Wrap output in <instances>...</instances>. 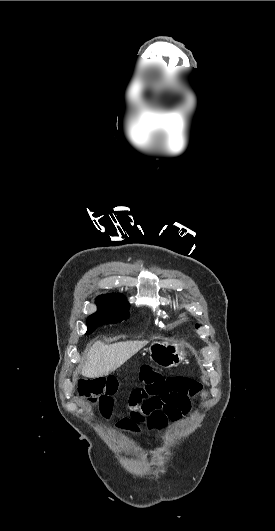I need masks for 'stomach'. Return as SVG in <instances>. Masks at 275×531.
I'll list each match as a JSON object with an SVG mask.
<instances>
[{
	"label": "stomach",
	"mask_w": 275,
	"mask_h": 531,
	"mask_svg": "<svg viewBox=\"0 0 275 531\" xmlns=\"http://www.w3.org/2000/svg\"><path fill=\"white\" fill-rule=\"evenodd\" d=\"M187 353L179 343L172 341H155L151 343L149 350H144V361H154L155 365L170 369L184 363Z\"/></svg>",
	"instance_id": "1"
}]
</instances>
